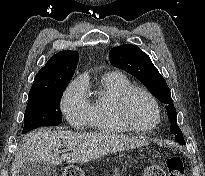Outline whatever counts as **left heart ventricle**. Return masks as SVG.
I'll return each mask as SVG.
<instances>
[{"instance_id":"left-heart-ventricle-1","label":"left heart ventricle","mask_w":205,"mask_h":176,"mask_svg":"<svg viewBox=\"0 0 205 176\" xmlns=\"http://www.w3.org/2000/svg\"><path fill=\"white\" fill-rule=\"evenodd\" d=\"M128 113L133 122L139 125H152L156 113L149 99L143 94H135L128 104Z\"/></svg>"}]
</instances>
